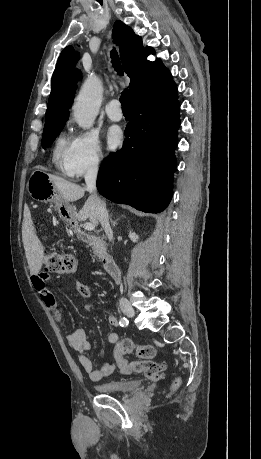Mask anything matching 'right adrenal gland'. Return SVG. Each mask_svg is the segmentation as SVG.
Segmentation results:
<instances>
[{"instance_id": "1", "label": "right adrenal gland", "mask_w": 261, "mask_h": 459, "mask_svg": "<svg viewBox=\"0 0 261 459\" xmlns=\"http://www.w3.org/2000/svg\"><path fill=\"white\" fill-rule=\"evenodd\" d=\"M112 216H113V215L111 214V215H110V222H111V224H112V227L114 228V227L116 226V224H117V220L114 221V220L112 219Z\"/></svg>"}]
</instances>
